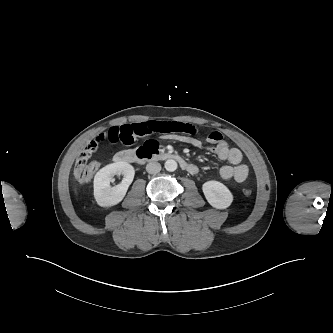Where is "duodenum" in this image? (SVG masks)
Wrapping results in <instances>:
<instances>
[{
	"label": "duodenum",
	"mask_w": 333,
	"mask_h": 333,
	"mask_svg": "<svg viewBox=\"0 0 333 333\" xmlns=\"http://www.w3.org/2000/svg\"><path fill=\"white\" fill-rule=\"evenodd\" d=\"M116 160L121 163H138V164H145L147 162H153V161L173 160L178 162L181 168L185 171L189 172L192 169V164L188 163L182 156H180L177 153L153 152L151 150H146V149L124 150L117 155Z\"/></svg>",
	"instance_id": "duodenum-1"
}]
</instances>
